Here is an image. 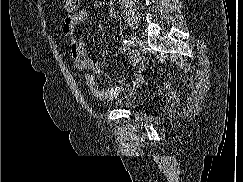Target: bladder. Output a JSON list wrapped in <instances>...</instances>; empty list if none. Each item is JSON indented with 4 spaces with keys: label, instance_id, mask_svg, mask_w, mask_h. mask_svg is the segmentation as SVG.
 I'll list each match as a JSON object with an SVG mask.
<instances>
[{
    "label": "bladder",
    "instance_id": "bladder-1",
    "mask_svg": "<svg viewBox=\"0 0 243 182\" xmlns=\"http://www.w3.org/2000/svg\"><path fill=\"white\" fill-rule=\"evenodd\" d=\"M146 101V95L137 90H130L116 100L115 107L122 109H132L142 106Z\"/></svg>",
    "mask_w": 243,
    "mask_h": 182
}]
</instances>
